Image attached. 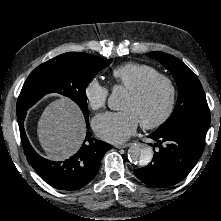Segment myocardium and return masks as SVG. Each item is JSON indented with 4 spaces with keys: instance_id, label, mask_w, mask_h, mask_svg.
Segmentation results:
<instances>
[{
    "instance_id": "myocardium-1",
    "label": "myocardium",
    "mask_w": 221,
    "mask_h": 221,
    "mask_svg": "<svg viewBox=\"0 0 221 221\" xmlns=\"http://www.w3.org/2000/svg\"><path fill=\"white\" fill-rule=\"evenodd\" d=\"M156 82H163L168 90V100L166 107L162 114L156 118L153 121L150 122H140L141 126L144 129H154L161 125H163L172 115L175 103H176V87L173 83V81L166 75L163 74H155L152 76L147 77L142 82H140L135 87L131 88L128 93L135 97H141L143 96L152 85H154Z\"/></svg>"
}]
</instances>
